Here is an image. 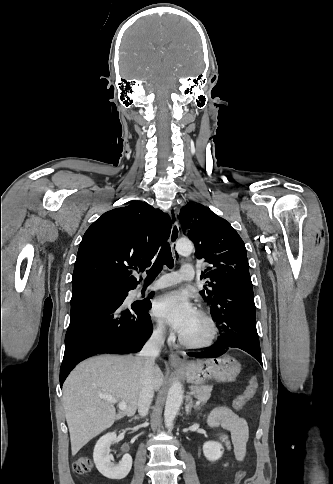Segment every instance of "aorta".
Instances as JSON below:
<instances>
[{
  "label": "aorta",
  "instance_id": "obj_1",
  "mask_svg": "<svg viewBox=\"0 0 333 484\" xmlns=\"http://www.w3.org/2000/svg\"><path fill=\"white\" fill-rule=\"evenodd\" d=\"M193 250V245L188 240H178L176 243V251L179 254H189ZM183 399V389L180 382L176 381L172 384L168 391L165 410H164V419H165V426L167 429L171 430L173 428V420L176 417V414L181 406Z\"/></svg>",
  "mask_w": 333,
  "mask_h": 484
}]
</instances>
